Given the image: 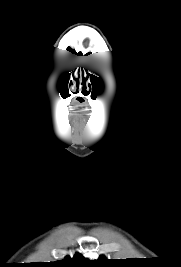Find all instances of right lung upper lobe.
<instances>
[{
  "label": "right lung upper lobe",
  "mask_w": 181,
  "mask_h": 267,
  "mask_svg": "<svg viewBox=\"0 0 181 267\" xmlns=\"http://www.w3.org/2000/svg\"><path fill=\"white\" fill-rule=\"evenodd\" d=\"M88 263V260L85 259L81 254L76 253L73 258L66 256L62 261L53 262V266L66 267V266H81Z\"/></svg>",
  "instance_id": "right-lung-upper-lobe-1"
}]
</instances>
